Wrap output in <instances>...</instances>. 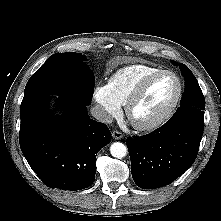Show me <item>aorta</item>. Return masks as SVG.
Listing matches in <instances>:
<instances>
[{
  "label": "aorta",
  "mask_w": 221,
  "mask_h": 221,
  "mask_svg": "<svg viewBox=\"0 0 221 221\" xmlns=\"http://www.w3.org/2000/svg\"><path fill=\"white\" fill-rule=\"evenodd\" d=\"M110 153L113 157L121 159L127 154V147L120 142H115L110 147Z\"/></svg>",
  "instance_id": "762f6f07"
}]
</instances>
